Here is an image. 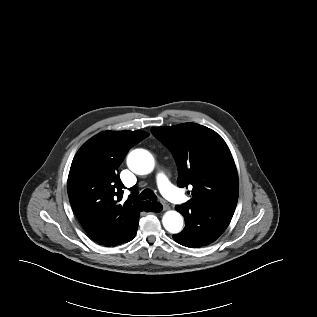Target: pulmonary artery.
<instances>
[{
  "label": "pulmonary artery",
  "mask_w": 317,
  "mask_h": 317,
  "mask_svg": "<svg viewBox=\"0 0 317 317\" xmlns=\"http://www.w3.org/2000/svg\"><path fill=\"white\" fill-rule=\"evenodd\" d=\"M156 180L160 191L167 199L174 202H183L185 200V197L170 182V180L164 173H158Z\"/></svg>",
  "instance_id": "1"
}]
</instances>
